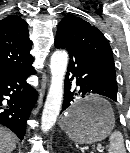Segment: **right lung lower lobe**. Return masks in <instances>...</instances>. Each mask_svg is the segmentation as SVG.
<instances>
[{"instance_id": "98d812e1", "label": "right lung lower lobe", "mask_w": 130, "mask_h": 153, "mask_svg": "<svg viewBox=\"0 0 130 153\" xmlns=\"http://www.w3.org/2000/svg\"><path fill=\"white\" fill-rule=\"evenodd\" d=\"M35 74L31 66L17 71L0 73V124L24 138L26 121L36 100V91L26 82Z\"/></svg>"}]
</instances>
